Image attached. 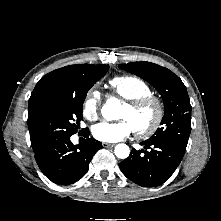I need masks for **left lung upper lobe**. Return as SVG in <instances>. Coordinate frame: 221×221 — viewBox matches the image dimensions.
Returning a JSON list of instances; mask_svg holds the SVG:
<instances>
[{
	"label": "left lung upper lobe",
	"instance_id": "1",
	"mask_svg": "<svg viewBox=\"0 0 221 221\" xmlns=\"http://www.w3.org/2000/svg\"><path fill=\"white\" fill-rule=\"evenodd\" d=\"M119 67L149 82L162 96L165 108L162 126L148 140L168 142L186 149L192 107L181 79L167 68L151 62H131Z\"/></svg>",
	"mask_w": 221,
	"mask_h": 221
}]
</instances>
